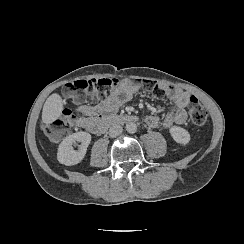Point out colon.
Segmentation results:
<instances>
[{
  "mask_svg": "<svg viewBox=\"0 0 244 244\" xmlns=\"http://www.w3.org/2000/svg\"><path fill=\"white\" fill-rule=\"evenodd\" d=\"M123 79L119 78H101L90 80L86 77L77 80L68 81L65 84L64 92L68 98L75 99L74 110L78 114H83L87 110V103H93L99 98H106L105 93L113 86L123 83ZM146 91L154 92L159 96H163L164 92L155 86L151 81H138ZM93 87L99 91L94 93ZM189 118L192 124L203 126L207 123L208 115L204 106L197 100L192 98L189 102ZM77 122V115L73 112H64L60 114L53 123H47L44 126V132L49 139H60L68 137L73 133V126Z\"/></svg>",
  "mask_w": 244,
  "mask_h": 244,
  "instance_id": "1",
  "label": "colon"
}]
</instances>
